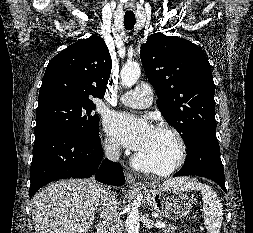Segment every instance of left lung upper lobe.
I'll list each match as a JSON object with an SVG mask.
<instances>
[{
  "mask_svg": "<svg viewBox=\"0 0 253 233\" xmlns=\"http://www.w3.org/2000/svg\"><path fill=\"white\" fill-rule=\"evenodd\" d=\"M140 58L165 120L188 147L201 134L216 137L214 81L202 48L155 33L142 44Z\"/></svg>",
  "mask_w": 253,
  "mask_h": 233,
  "instance_id": "left-lung-upper-lobe-1",
  "label": "left lung upper lobe"
}]
</instances>
